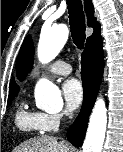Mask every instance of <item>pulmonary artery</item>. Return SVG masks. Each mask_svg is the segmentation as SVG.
<instances>
[{"label":"pulmonary artery","instance_id":"e3ab8cb5","mask_svg":"<svg viewBox=\"0 0 123 152\" xmlns=\"http://www.w3.org/2000/svg\"><path fill=\"white\" fill-rule=\"evenodd\" d=\"M71 71H72L71 65L62 60H57V61L53 62L47 68L48 74L68 75L71 73Z\"/></svg>","mask_w":123,"mask_h":152}]
</instances>
